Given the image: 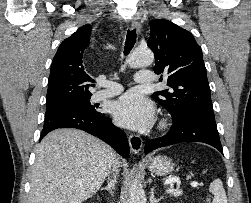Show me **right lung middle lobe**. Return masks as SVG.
Here are the masks:
<instances>
[{
	"label": "right lung middle lobe",
	"instance_id": "right-lung-middle-lobe-1",
	"mask_svg": "<svg viewBox=\"0 0 251 203\" xmlns=\"http://www.w3.org/2000/svg\"><path fill=\"white\" fill-rule=\"evenodd\" d=\"M63 111H83V112H88L92 114H101V112L95 109V106L91 105L90 98H89L82 101L67 104L64 106L47 108L45 117L58 113V112H63Z\"/></svg>",
	"mask_w": 251,
	"mask_h": 203
}]
</instances>
